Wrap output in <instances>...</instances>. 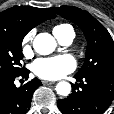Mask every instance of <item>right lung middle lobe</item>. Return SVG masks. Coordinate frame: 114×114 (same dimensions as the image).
Instances as JSON below:
<instances>
[{"label": "right lung middle lobe", "instance_id": "right-lung-middle-lobe-1", "mask_svg": "<svg viewBox=\"0 0 114 114\" xmlns=\"http://www.w3.org/2000/svg\"><path fill=\"white\" fill-rule=\"evenodd\" d=\"M23 38L22 35L0 30V79L17 76L25 70L21 64Z\"/></svg>", "mask_w": 114, "mask_h": 114}]
</instances>
